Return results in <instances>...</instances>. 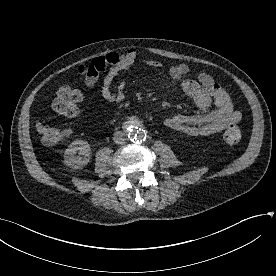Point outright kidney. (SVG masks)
<instances>
[{
  "label": "right kidney",
  "mask_w": 276,
  "mask_h": 276,
  "mask_svg": "<svg viewBox=\"0 0 276 276\" xmlns=\"http://www.w3.org/2000/svg\"><path fill=\"white\" fill-rule=\"evenodd\" d=\"M90 159V145L83 140L73 141L64 152V163L73 169L83 168Z\"/></svg>",
  "instance_id": "obj_1"
}]
</instances>
